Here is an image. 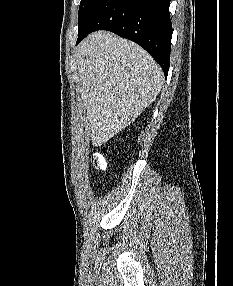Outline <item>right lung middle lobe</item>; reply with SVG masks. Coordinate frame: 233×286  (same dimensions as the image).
<instances>
[{"mask_svg": "<svg viewBox=\"0 0 233 286\" xmlns=\"http://www.w3.org/2000/svg\"><path fill=\"white\" fill-rule=\"evenodd\" d=\"M96 1L97 0H81L78 14V24L83 21V19L86 17L87 13Z\"/></svg>", "mask_w": 233, "mask_h": 286, "instance_id": "1", "label": "right lung middle lobe"}]
</instances>
